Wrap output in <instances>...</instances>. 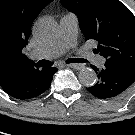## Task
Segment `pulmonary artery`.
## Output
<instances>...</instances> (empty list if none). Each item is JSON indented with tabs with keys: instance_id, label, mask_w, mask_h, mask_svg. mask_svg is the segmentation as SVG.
Masks as SVG:
<instances>
[{
	"instance_id": "e3ab8cb5",
	"label": "pulmonary artery",
	"mask_w": 135,
	"mask_h": 135,
	"mask_svg": "<svg viewBox=\"0 0 135 135\" xmlns=\"http://www.w3.org/2000/svg\"><path fill=\"white\" fill-rule=\"evenodd\" d=\"M78 19L73 14H66L60 19V35L58 40L40 50L33 51L29 57L33 60L46 59L51 60L63 55L69 49L78 54L86 56L87 59L93 60L95 64L102 65L104 58L94 55L93 53H85L81 51L77 44Z\"/></svg>"
}]
</instances>
